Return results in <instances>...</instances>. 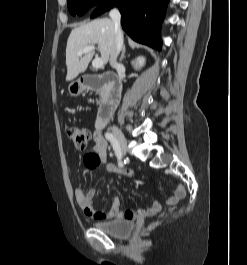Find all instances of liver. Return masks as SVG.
I'll use <instances>...</instances> for the list:
<instances>
[{
	"label": "liver",
	"mask_w": 247,
	"mask_h": 265,
	"mask_svg": "<svg viewBox=\"0 0 247 265\" xmlns=\"http://www.w3.org/2000/svg\"><path fill=\"white\" fill-rule=\"evenodd\" d=\"M114 24L107 18L96 19L90 23L74 28L67 40L66 46V81L75 79L87 69L94 51H89L83 56L78 52L87 46L98 44L103 63H107L114 45Z\"/></svg>",
	"instance_id": "liver-1"
}]
</instances>
